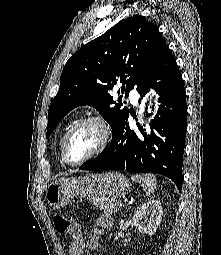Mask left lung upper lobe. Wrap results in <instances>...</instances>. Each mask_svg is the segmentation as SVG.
<instances>
[{"mask_svg":"<svg viewBox=\"0 0 221 255\" xmlns=\"http://www.w3.org/2000/svg\"><path fill=\"white\" fill-rule=\"evenodd\" d=\"M167 45L157 27L144 16L121 20L100 37L90 41L66 62L60 88L48 111L46 137L61 119L79 105L95 107L114 131L129 109L108 93L118 78V93L127 97L137 91L155 69ZM115 104V106H111Z\"/></svg>","mask_w":221,"mask_h":255,"instance_id":"1","label":"left lung upper lobe"}]
</instances>
